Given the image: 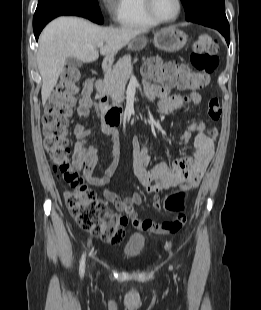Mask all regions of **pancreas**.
I'll return each instance as SVG.
<instances>
[{
    "instance_id": "cf45deb5",
    "label": "pancreas",
    "mask_w": 261,
    "mask_h": 310,
    "mask_svg": "<svg viewBox=\"0 0 261 310\" xmlns=\"http://www.w3.org/2000/svg\"><path fill=\"white\" fill-rule=\"evenodd\" d=\"M133 66L130 55L119 59L112 70L108 71L104 79V90L116 103L125 99V87L132 73Z\"/></svg>"
}]
</instances>
